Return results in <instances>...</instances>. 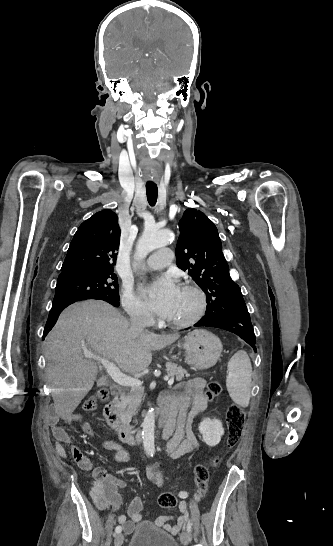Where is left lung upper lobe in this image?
<instances>
[{
	"label": "left lung upper lobe",
	"instance_id": "1",
	"mask_svg": "<svg viewBox=\"0 0 333 546\" xmlns=\"http://www.w3.org/2000/svg\"><path fill=\"white\" fill-rule=\"evenodd\" d=\"M176 264L193 277L207 296V311L245 306L239 286L231 279L216 226L196 209H187L179 222Z\"/></svg>",
	"mask_w": 333,
	"mask_h": 546
}]
</instances>
